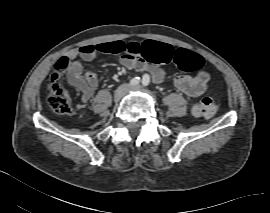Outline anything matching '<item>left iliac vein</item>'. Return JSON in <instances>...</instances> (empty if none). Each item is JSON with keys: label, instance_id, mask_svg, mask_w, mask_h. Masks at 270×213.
<instances>
[{"label": "left iliac vein", "instance_id": "obj_1", "mask_svg": "<svg viewBox=\"0 0 270 213\" xmlns=\"http://www.w3.org/2000/svg\"><path fill=\"white\" fill-rule=\"evenodd\" d=\"M142 87L140 85H135V86H132L130 88H128L127 92L129 91H138V90H141Z\"/></svg>", "mask_w": 270, "mask_h": 213}]
</instances>
